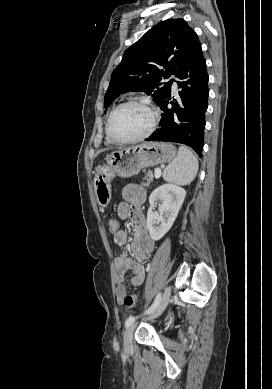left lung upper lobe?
I'll return each mask as SVG.
<instances>
[{
  "label": "left lung upper lobe",
  "mask_w": 272,
  "mask_h": 389,
  "mask_svg": "<svg viewBox=\"0 0 272 389\" xmlns=\"http://www.w3.org/2000/svg\"><path fill=\"white\" fill-rule=\"evenodd\" d=\"M200 47L196 32L184 19H168L155 25L125 51L111 75L105 108L119 94L143 89L160 106L173 82L163 83L162 79L171 74L178 76Z\"/></svg>",
  "instance_id": "5c2ea615"
}]
</instances>
